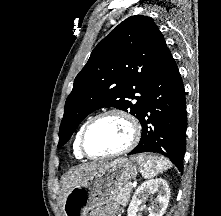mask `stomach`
Returning <instances> with one entry per match:
<instances>
[{"label":"stomach","instance_id":"obj_1","mask_svg":"<svg viewBox=\"0 0 221 216\" xmlns=\"http://www.w3.org/2000/svg\"><path fill=\"white\" fill-rule=\"evenodd\" d=\"M137 173V165L126 158L101 166L69 192L63 203L64 216H87L89 211L110 203Z\"/></svg>","mask_w":221,"mask_h":216}]
</instances>
